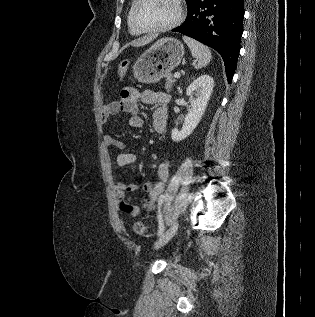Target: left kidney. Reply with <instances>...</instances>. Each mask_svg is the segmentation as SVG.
<instances>
[{
  "label": "left kidney",
  "mask_w": 315,
  "mask_h": 317,
  "mask_svg": "<svg viewBox=\"0 0 315 317\" xmlns=\"http://www.w3.org/2000/svg\"><path fill=\"white\" fill-rule=\"evenodd\" d=\"M214 87V80L209 75H201L186 89L191 109L185 116L182 129L174 128L171 133L172 140L179 142L188 137L199 124L204 114Z\"/></svg>",
  "instance_id": "1"
}]
</instances>
